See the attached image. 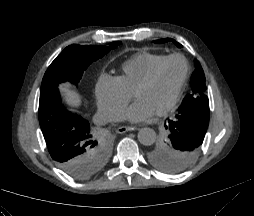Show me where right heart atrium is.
I'll return each instance as SVG.
<instances>
[{"label": "right heart atrium", "mask_w": 254, "mask_h": 216, "mask_svg": "<svg viewBox=\"0 0 254 216\" xmlns=\"http://www.w3.org/2000/svg\"><path fill=\"white\" fill-rule=\"evenodd\" d=\"M95 96L102 116L116 120L130 102L132 93L123 86L118 77L105 74L97 81Z\"/></svg>", "instance_id": "obj_1"}]
</instances>
